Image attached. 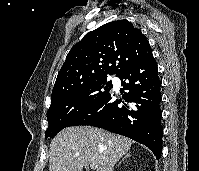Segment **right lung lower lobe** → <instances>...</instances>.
Listing matches in <instances>:
<instances>
[{"label":"right lung lower lobe","mask_w":199,"mask_h":171,"mask_svg":"<svg viewBox=\"0 0 199 171\" xmlns=\"http://www.w3.org/2000/svg\"><path fill=\"white\" fill-rule=\"evenodd\" d=\"M117 77L124 101L114 100L110 92L76 117L67 127L90 125L127 136L146 145L158 159L161 156V82L153 57L138 62ZM124 103V105H121Z\"/></svg>","instance_id":"1"}]
</instances>
